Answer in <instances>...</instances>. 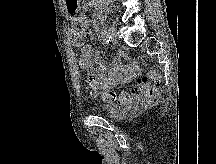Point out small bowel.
<instances>
[{
    "label": "small bowel",
    "mask_w": 216,
    "mask_h": 164,
    "mask_svg": "<svg viewBox=\"0 0 216 164\" xmlns=\"http://www.w3.org/2000/svg\"><path fill=\"white\" fill-rule=\"evenodd\" d=\"M88 29L89 21L83 15L73 18L69 29L72 45L79 48L78 65L81 69L88 71L86 83L91 80L94 86L110 89L133 79L138 74L137 64L114 61L109 65L100 53H94L90 45L84 44V35ZM114 108L115 105L109 107V109Z\"/></svg>",
    "instance_id": "obj_1"
}]
</instances>
